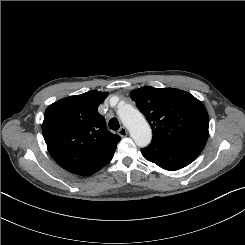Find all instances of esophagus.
<instances>
[{"instance_id":"esophagus-1","label":"esophagus","mask_w":245,"mask_h":245,"mask_svg":"<svg viewBox=\"0 0 245 245\" xmlns=\"http://www.w3.org/2000/svg\"><path fill=\"white\" fill-rule=\"evenodd\" d=\"M118 134L121 136V137H126L128 135V131L127 129L122 126L119 130H118Z\"/></svg>"}]
</instances>
